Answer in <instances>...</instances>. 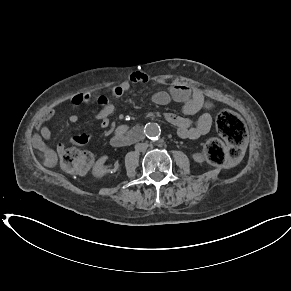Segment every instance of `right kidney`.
<instances>
[{
  "instance_id": "ca27d5eb",
  "label": "right kidney",
  "mask_w": 291,
  "mask_h": 291,
  "mask_svg": "<svg viewBox=\"0 0 291 291\" xmlns=\"http://www.w3.org/2000/svg\"><path fill=\"white\" fill-rule=\"evenodd\" d=\"M105 160L106 158L103 157L96 162L95 166L93 167V174L95 176L102 177L104 174L110 172V170L106 169L103 165Z\"/></svg>"
}]
</instances>
